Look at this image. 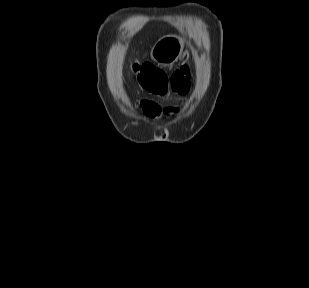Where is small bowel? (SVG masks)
Listing matches in <instances>:
<instances>
[{"mask_svg": "<svg viewBox=\"0 0 309 288\" xmlns=\"http://www.w3.org/2000/svg\"><path fill=\"white\" fill-rule=\"evenodd\" d=\"M141 107L144 110V112L152 117L158 116L161 113H168L172 112L174 109L172 108H164L161 109L159 106H157L155 103L150 101H145L141 103Z\"/></svg>", "mask_w": 309, "mask_h": 288, "instance_id": "obj_1", "label": "small bowel"}]
</instances>
